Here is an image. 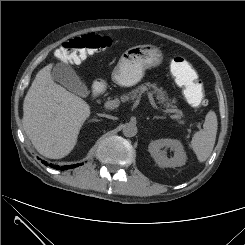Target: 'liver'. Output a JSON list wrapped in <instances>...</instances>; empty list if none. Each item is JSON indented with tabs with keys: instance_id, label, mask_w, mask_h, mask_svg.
Masks as SVG:
<instances>
[{
	"instance_id": "1",
	"label": "liver",
	"mask_w": 245,
	"mask_h": 245,
	"mask_svg": "<svg viewBox=\"0 0 245 245\" xmlns=\"http://www.w3.org/2000/svg\"><path fill=\"white\" fill-rule=\"evenodd\" d=\"M52 66L42 68L33 80L24 99L22 122L41 155L60 159L75 147L90 106L53 81Z\"/></svg>"
}]
</instances>
